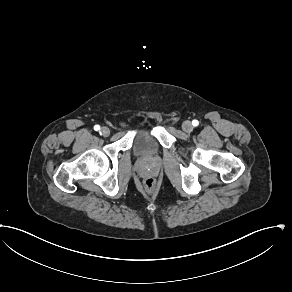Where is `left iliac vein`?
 <instances>
[{"label": "left iliac vein", "instance_id": "1", "mask_svg": "<svg viewBox=\"0 0 292 292\" xmlns=\"http://www.w3.org/2000/svg\"><path fill=\"white\" fill-rule=\"evenodd\" d=\"M182 129H183V131L189 133V132L192 131L193 125H192V123L190 121H185L182 124Z\"/></svg>", "mask_w": 292, "mask_h": 292}]
</instances>
